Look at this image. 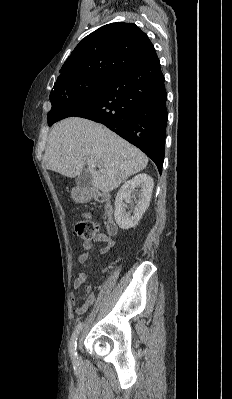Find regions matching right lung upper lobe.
Wrapping results in <instances>:
<instances>
[{"instance_id": "cb5924a9", "label": "right lung upper lobe", "mask_w": 232, "mask_h": 399, "mask_svg": "<svg viewBox=\"0 0 232 399\" xmlns=\"http://www.w3.org/2000/svg\"><path fill=\"white\" fill-rule=\"evenodd\" d=\"M155 49L132 23H111L86 36L63 64L50 95L85 78H110L146 60Z\"/></svg>"}]
</instances>
